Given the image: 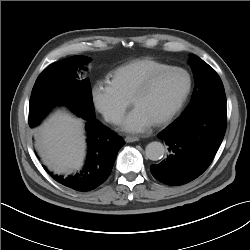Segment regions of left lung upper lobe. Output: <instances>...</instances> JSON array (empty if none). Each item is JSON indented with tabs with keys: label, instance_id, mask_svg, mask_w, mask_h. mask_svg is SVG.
<instances>
[{
	"label": "left lung upper lobe",
	"instance_id": "left-lung-upper-lobe-1",
	"mask_svg": "<svg viewBox=\"0 0 250 250\" xmlns=\"http://www.w3.org/2000/svg\"><path fill=\"white\" fill-rule=\"evenodd\" d=\"M191 63L195 87L192 94V101L184 112L195 108L213 96L225 93L222 81L212 67L197 56L194 57Z\"/></svg>",
	"mask_w": 250,
	"mask_h": 250
}]
</instances>
